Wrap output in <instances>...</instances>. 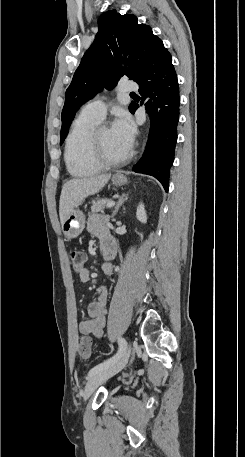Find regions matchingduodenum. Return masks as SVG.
<instances>
[{
    "label": "duodenum",
    "instance_id": "410a0bca",
    "mask_svg": "<svg viewBox=\"0 0 245 457\" xmlns=\"http://www.w3.org/2000/svg\"><path fill=\"white\" fill-rule=\"evenodd\" d=\"M103 256L106 257V252H103Z\"/></svg>",
    "mask_w": 245,
    "mask_h": 457
}]
</instances>
